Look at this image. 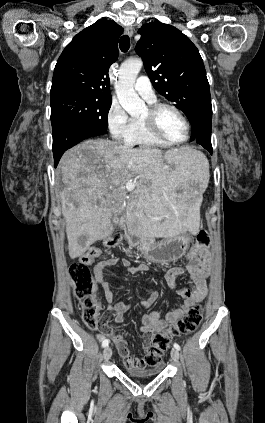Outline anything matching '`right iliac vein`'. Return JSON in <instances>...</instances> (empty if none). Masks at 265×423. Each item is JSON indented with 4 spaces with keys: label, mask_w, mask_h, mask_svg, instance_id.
<instances>
[{
    "label": "right iliac vein",
    "mask_w": 265,
    "mask_h": 423,
    "mask_svg": "<svg viewBox=\"0 0 265 423\" xmlns=\"http://www.w3.org/2000/svg\"><path fill=\"white\" fill-rule=\"evenodd\" d=\"M112 356V350L110 347H105L104 351H103V357L106 361H108Z\"/></svg>",
    "instance_id": "63e3f726"
}]
</instances>
